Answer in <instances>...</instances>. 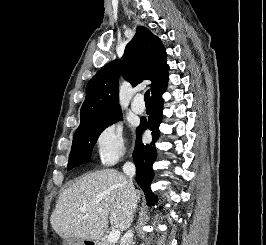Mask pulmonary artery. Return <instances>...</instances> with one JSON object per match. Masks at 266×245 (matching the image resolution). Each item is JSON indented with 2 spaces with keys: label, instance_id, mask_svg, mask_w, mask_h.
<instances>
[{
  "label": "pulmonary artery",
  "instance_id": "1",
  "mask_svg": "<svg viewBox=\"0 0 266 245\" xmlns=\"http://www.w3.org/2000/svg\"><path fill=\"white\" fill-rule=\"evenodd\" d=\"M142 94H137L131 102V109L137 114H141L145 111V105L142 103Z\"/></svg>",
  "mask_w": 266,
  "mask_h": 245
}]
</instances>
